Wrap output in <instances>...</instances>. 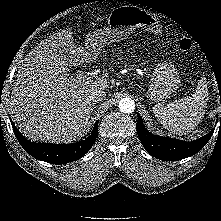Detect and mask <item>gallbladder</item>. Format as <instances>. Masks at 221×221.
I'll use <instances>...</instances> for the list:
<instances>
[{"instance_id":"bac80fb5","label":"gallbladder","mask_w":221,"mask_h":221,"mask_svg":"<svg viewBox=\"0 0 221 221\" xmlns=\"http://www.w3.org/2000/svg\"><path fill=\"white\" fill-rule=\"evenodd\" d=\"M63 57H65L66 61L68 62L71 58V55L69 54V52L67 50H64L63 52Z\"/></svg>"}]
</instances>
